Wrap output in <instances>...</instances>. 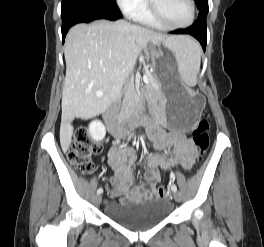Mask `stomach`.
<instances>
[{
	"label": "stomach",
	"mask_w": 264,
	"mask_h": 247,
	"mask_svg": "<svg viewBox=\"0 0 264 247\" xmlns=\"http://www.w3.org/2000/svg\"><path fill=\"white\" fill-rule=\"evenodd\" d=\"M163 45L168 49L172 46L167 41ZM167 48L151 51L156 79L163 94L170 100L166 113H169V122L175 131H192L198 118H203L204 94L190 95L184 90L176 63H169L177 62V57L175 53H167Z\"/></svg>",
	"instance_id": "1"
}]
</instances>
